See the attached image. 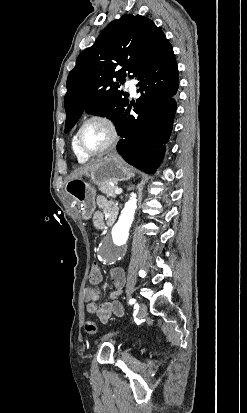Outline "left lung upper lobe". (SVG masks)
I'll list each match as a JSON object with an SVG mask.
<instances>
[{
  "label": "left lung upper lobe",
  "instance_id": "obj_1",
  "mask_svg": "<svg viewBox=\"0 0 247 413\" xmlns=\"http://www.w3.org/2000/svg\"><path fill=\"white\" fill-rule=\"evenodd\" d=\"M170 46L164 33L144 16L128 14L110 22L95 44L80 53L68 75L65 132L84 111L110 118L118 129L129 105L128 93L118 89L119 83L130 73L137 78Z\"/></svg>",
  "mask_w": 247,
  "mask_h": 413
}]
</instances>
